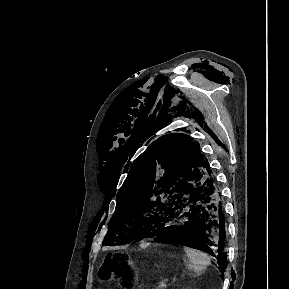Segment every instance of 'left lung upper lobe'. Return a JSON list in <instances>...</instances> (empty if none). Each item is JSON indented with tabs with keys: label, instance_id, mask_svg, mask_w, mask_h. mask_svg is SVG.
I'll return each mask as SVG.
<instances>
[{
	"label": "left lung upper lobe",
	"instance_id": "obj_1",
	"mask_svg": "<svg viewBox=\"0 0 289 289\" xmlns=\"http://www.w3.org/2000/svg\"><path fill=\"white\" fill-rule=\"evenodd\" d=\"M210 172L199 143L182 133L159 138L132 165L103 243L122 245L146 237L167 217L168 205L181 188Z\"/></svg>",
	"mask_w": 289,
	"mask_h": 289
}]
</instances>
